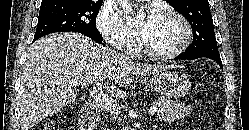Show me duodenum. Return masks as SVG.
Instances as JSON below:
<instances>
[{"instance_id": "410a0bca", "label": "duodenum", "mask_w": 249, "mask_h": 130, "mask_svg": "<svg viewBox=\"0 0 249 130\" xmlns=\"http://www.w3.org/2000/svg\"><path fill=\"white\" fill-rule=\"evenodd\" d=\"M99 117V108L93 103L86 104L80 115L79 130H94Z\"/></svg>"}]
</instances>
